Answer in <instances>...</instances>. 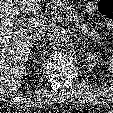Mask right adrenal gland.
Instances as JSON below:
<instances>
[{
	"mask_svg": "<svg viewBox=\"0 0 113 113\" xmlns=\"http://www.w3.org/2000/svg\"><path fill=\"white\" fill-rule=\"evenodd\" d=\"M41 40L40 37L33 38L32 47H36L38 45V42Z\"/></svg>",
	"mask_w": 113,
	"mask_h": 113,
	"instance_id": "2a0ac1e0",
	"label": "right adrenal gland"
}]
</instances>
